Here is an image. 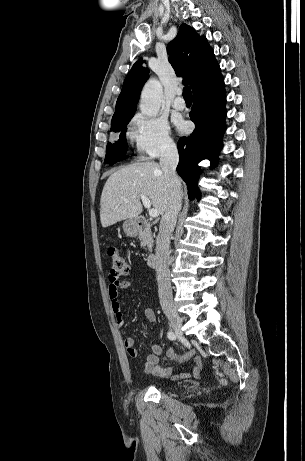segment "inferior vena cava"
<instances>
[{"instance_id":"obj_1","label":"inferior vena cava","mask_w":305,"mask_h":461,"mask_svg":"<svg viewBox=\"0 0 305 461\" xmlns=\"http://www.w3.org/2000/svg\"><path fill=\"white\" fill-rule=\"evenodd\" d=\"M178 162L179 154L177 147L174 143H170L164 148L160 158V166L170 188V197L168 207L160 221L155 254L158 294L162 309L173 306L169 270L170 236L174 231L177 215L182 207L183 196L182 190L179 188L180 179L176 174Z\"/></svg>"}]
</instances>
